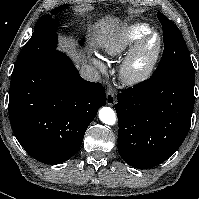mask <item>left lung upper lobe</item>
Instances as JSON below:
<instances>
[{
  "label": "left lung upper lobe",
  "mask_w": 199,
  "mask_h": 199,
  "mask_svg": "<svg viewBox=\"0 0 199 199\" xmlns=\"http://www.w3.org/2000/svg\"><path fill=\"white\" fill-rule=\"evenodd\" d=\"M163 29L164 52L152 76L169 73L195 75L190 54L178 27L162 13H157Z\"/></svg>",
  "instance_id": "obj_1"
}]
</instances>
